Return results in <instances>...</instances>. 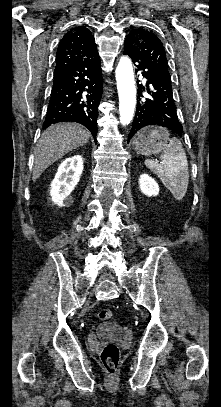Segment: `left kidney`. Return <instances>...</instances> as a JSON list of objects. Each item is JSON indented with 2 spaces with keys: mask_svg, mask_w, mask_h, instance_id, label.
<instances>
[{
  "mask_svg": "<svg viewBox=\"0 0 221 407\" xmlns=\"http://www.w3.org/2000/svg\"><path fill=\"white\" fill-rule=\"evenodd\" d=\"M140 190L148 197L157 196L159 193L158 183L149 175L142 174L139 179Z\"/></svg>",
  "mask_w": 221,
  "mask_h": 407,
  "instance_id": "obj_1",
  "label": "left kidney"
}]
</instances>
